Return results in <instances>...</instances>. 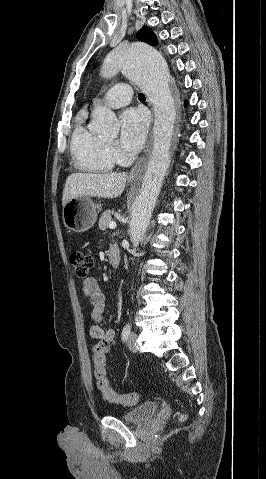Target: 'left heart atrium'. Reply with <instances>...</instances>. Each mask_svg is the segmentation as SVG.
Here are the masks:
<instances>
[{"label": "left heart atrium", "mask_w": 266, "mask_h": 479, "mask_svg": "<svg viewBox=\"0 0 266 479\" xmlns=\"http://www.w3.org/2000/svg\"><path fill=\"white\" fill-rule=\"evenodd\" d=\"M148 130V117L140 109H128L121 116L120 143L127 153H136L142 147Z\"/></svg>", "instance_id": "left-heart-atrium-1"}]
</instances>
